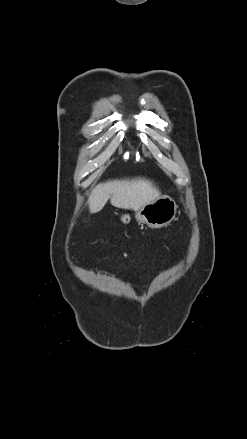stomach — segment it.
I'll return each instance as SVG.
<instances>
[{
	"mask_svg": "<svg viewBox=\"0 0 247 439\" xmlns=\"http://www.w3.org/2000/svg\"><path fill=\"white\" fill-rule=\"evenodd\" d=\"M177 205L169 196H159L150 203L145 204L136 211V219L139 223L147 224L151 228L167 226L175 218ZM123 223L128 224L131 217L122 215Z\"/></svg>",
	"mask_w": 247,
	"mask_h": 439,
	"instance_id": "0dacf381",
	"label": "stomach"
}]
</instances>
